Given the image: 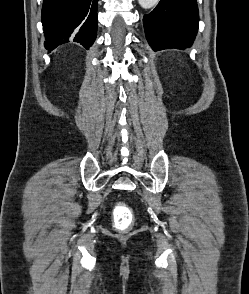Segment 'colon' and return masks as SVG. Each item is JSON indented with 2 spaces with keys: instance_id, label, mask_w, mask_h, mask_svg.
<instances>
[{
  "instance_id": "1",
  "label": "colon",
  "mask_w": 249,
  "mask_h": 294,
  "mask_svg": "<svg viewBox=\"0 0 249 294\" xmlns=\"http://www.w3.org/2000/svg\"><path fill=\"white\" fill-rule=\"evenodd\" d=\"M115 217H114V226L118 230L127 229L132 223V216L129 209L123 205L118 204L115 206Z\"/></svg>"
}]
</instances>
